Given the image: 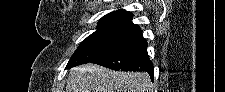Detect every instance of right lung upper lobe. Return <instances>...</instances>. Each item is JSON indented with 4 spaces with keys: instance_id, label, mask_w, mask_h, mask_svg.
<instances>
[{
    "instance_id": "cb5924a9",
    "label": "right lung upper lobe",
    "mask_w": 225,
    "mask_h": 92,
    "mask_svg": "<svg viewBox=\"0 0 225 92\" xmlns=\"http://www.w3.org/2000/svg\"><path fill=\"white\" fill-rule=\"evenodd\" d=\"M132 13L123 9L113 11L100 19L99 24H120L141 30L140 27L132 22Z\"/></svg>"
}]
</instances>
